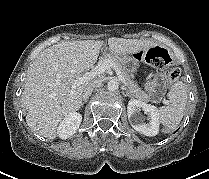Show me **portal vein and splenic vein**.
Here are the masks:
<instances>
[{"mask_svg": "<svg viewBox=\"0 0 209 179\" xmlns=\"http://www.w3.org/2000/svg\"><path fill=\"white\" fill-rule=\"evenodd\" d=\"M113 68L118 76V78L125 83V80L120 72V70L115 66V63L112 60H104L99 62L91 71L85 72L81 77L74 80V85L82 84L86 81H89L96 76L103 74L108 69Z\"/></svg>", "mask_w": 209, "mask_h": 179, "instance_id": "obj_1", "label": "portal vein and splenic vein"}]
</instances>
